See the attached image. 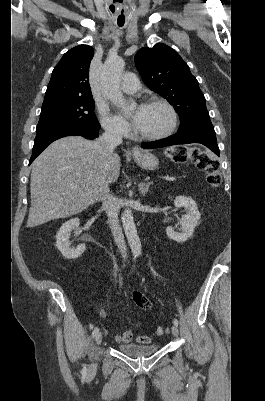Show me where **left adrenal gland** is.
<instances>
[{"instance_id":"obj_1","label":"left adrenal gland","mask_w":265,"mask_h":401,"mask_svg":"<svg viewBox=\"0 0 265 401\" xmlns=\"http://www.w3.org/2000/svg\"><path fill=\"white\" fill-rule=\"evenodd\" d=\"M150 184L151 182H139L138 186L140 194H142V196H145V194H147Z\"/></svg>"}]
</instances>
